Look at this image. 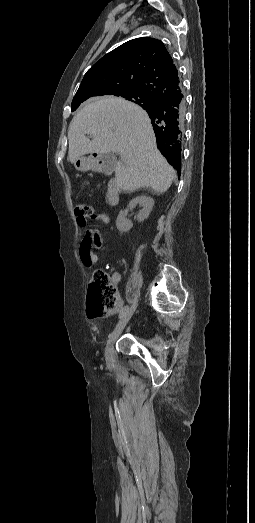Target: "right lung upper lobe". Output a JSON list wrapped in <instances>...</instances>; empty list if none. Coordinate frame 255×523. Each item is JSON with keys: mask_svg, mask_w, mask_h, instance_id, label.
Segmentation results:
<instances>
[{"mask_svg": "<svg viewBox=\"0 0 255 523\" xmlns=\"http://www.w3.org/2000/svg\"><path fill=\"white\" fill-rule=\"evenodd\" d=\"M128 91H142L152 98L153 105L150 108L143 107L142 101L136 104L148 113L154 132L152 109L165 102H179L177 118L180 135L172 139H178L182 146L184 100L181 81L171 55L160 40L147 37L133 39L106 54L87 71L71 106L79 107L84 102ZM157 147L175 169H180L181 150L174 155H167L164 146L157 143Z\"/></svg>", "mask_w": 255, "mask_h": 523, "instance_id": "cb5924a9", "label": "right lung upper lobe"}]
</instances>
